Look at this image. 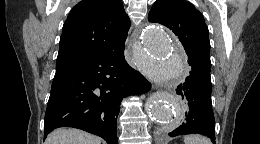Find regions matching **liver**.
Masks as SVG:
<instances>
[{
	"label": "liver",
	"mask_w": 260,
	"mask_h": 144,
	"mask_svg": "<svg viewBox=\"0 0 260 144\" xmlns=\"http://www.w3.org/2000/svg\"><path fill=\"white\" fill-rule=\"evenodd\" d=\"M45 144H101V140L78 129L60 128L48 135Z\"/></svg>",
	"instance_id": "obj_1"
}]
</instances>
